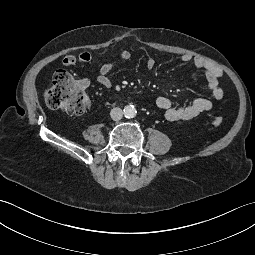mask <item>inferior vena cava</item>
<instances>
[{
	"label": "inferior vena cava",
	"instance_id": "obj_1",
	"mask_svg": "<svg viewBox=\"0 0 255 255\" xmlns=\"http://www.w3.org/2000/svg\"><path fill=\"white\" fill-rule=\"evenodd\" d=\"M110 116H111L112 120L119 121L122 119L123 111L119 107H115L111 110Z\"/></svg>",
	"mask_w": 255,
	"mask_h": 255
}]
</instances>
